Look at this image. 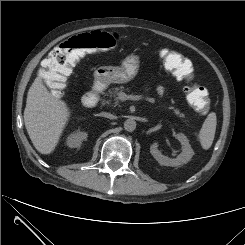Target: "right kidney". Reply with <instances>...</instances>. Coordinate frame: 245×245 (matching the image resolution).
Masks as SVG:
<instances>
[{"mask_svg": "<svg viewBox=\"0 0 245 245\" xmlns=\"http://www.w3.org/2000/svg\"><path fill=\"white\" fill-rule=\"evenodd\" d=\"M88 134L82 131L71 133L66 139V145L70 148H78L87 139Z\"/></svg>", "mask_w": 245, "mask_h": 245, "instance_id": "obj_1", "label": "right kidney"}]
</instances>
